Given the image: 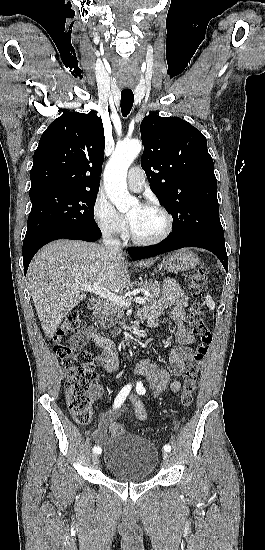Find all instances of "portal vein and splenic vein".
<instances>
[{
  "mask_svg": "<svg viewBox=\"0 0 265 550\" xmlns=\"http://www.w3.org/2000/svg\"><path fill=\"white\" fill-rule=\"evenodd\" d=\"M74 288L82 291L92 292L122 307L129 306L131 304V299H127L126 297L118 296L116 294L111 293L110 291L101 287L100 283L98 282L94 284H77V285H74ZM135 302L139 304H145L146 299L142 297H138L135 299Z\"/></svg>",
  "mask_w": 265,
  "mask_h": 550,
  "instance_id": "obj_1",
  "label": "portal vein and splenic vein"
}]
</instances>
